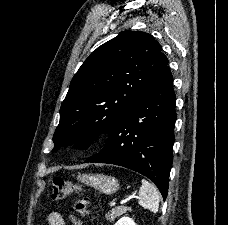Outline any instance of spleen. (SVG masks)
I'll list each match as a JSON object with an SVG mask.
<instances>
[{
    "instance_id": "obj_1",
    "label": "spleen",
    "mask_w": 228,
    "mask_h": 225,
    "mask_svg": "<svg viewBox=\"0 0 228 225\" xmlns=\"http://www.w3.org/2000/svg\"><path fill=\"white\" fill-rule=\"evenodd\" d=\"M139 205L143 209H148L151 213H157L160 203V193L155 185L142 179V185L139 189Z\"/></svg>"
}]
</instances>
